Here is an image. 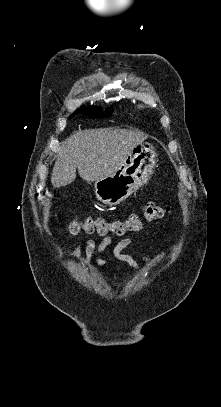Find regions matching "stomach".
<instances>
[{"label": "stomach", "mask_w": 221, "mask_h": 407, "mask_svg": "<svg viewBox=\"0 0 221 407\" xmlns=\"http://www.w3.org/2000/svg\"><path fill=\"white\" fill-rule=\"evenodd\" d=\"M157 151L152 143H138L111 175L95 181L98 200L107 205H118L148 182L154 173Z\"/></svg>", "instance_id": "1"}]
</instances>
